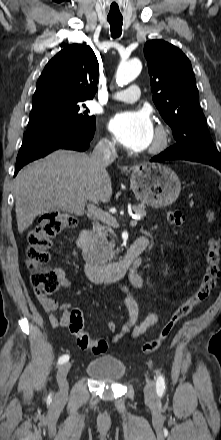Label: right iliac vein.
I'll use <instances>...</instances> for the list:
<instances>
[{
    "label": "right iliac vein",
    "mask_w": 221,
    "mask_h": 440,
    "mask_svg": "<svg viewBox=\"0 0 221 440\" xmlns=\"http://www.w3.org/2000/svg\"><path fill=\"white\" fill-rule=\"evenodd\" d=\"M71 367L70 363H65L61 365L57 371V382L59 385V395L61 397H66L68 394V382H67V374Z\"/></svg>",
    "instance_id": "63e3f726"
}]
</instances>
